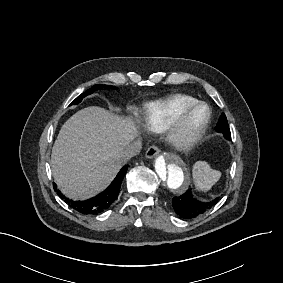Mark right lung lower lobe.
Instances as JSON below:
<instances>
[{
	"mask_svg": "<svg viewBox=\"0 0 283 283\" xmlns=\"http://www.w3.org/2000/svg\"><path fill=\"white\" fill-rule=\"evenodd\" d=\"M127 167L128 166H124L120 170L114 181L106 190L85 201H73L66 198L59 190L56 189L55 184L54 190L57 191V194L76 211L82 214H98L106 210L117 198L123 177L127 172Z\"/></svg>",
	"mask_w": 283,
	"mask_h": 283,
	"instance_id": "obj_1",
	"label": "right lung lower lobe"
}]
</instances>
